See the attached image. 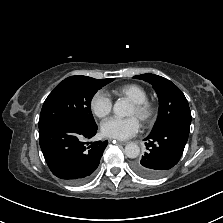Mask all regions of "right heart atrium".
<instances>
[{
    "instance_id": "right-heart-atrium-1",
    "label": "right heart atrium",
    "mask_w": 223,
    "mask_h": 223,
    "mask_svg": "<svg viewBox=\"0 0 223 223\" xmlns=\"http://www.w3.org/2000/svg\"><path fill=\"white\" fill-rule=\"evenodd\" d=\"M112 100L104 91L96 92L90 102L92 113L99 119L106 118L112 111Z\"/></svg>"
}]
</instances>
